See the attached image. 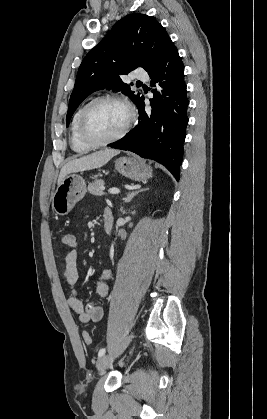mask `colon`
<instances>
[{"mask_svg": "<svg viewBox=\"0 0 267 419\" xmlns=\"http://www.w3.org/2000/svg\"><path fill=\"white\" fill-rule=\"evenodd\" d=\"M63 244L68 247L72 248L76 245V239L75 236L71 233H67L62 238ZM83 340L86 344H89L91 342L90 334L88 332H83Z\"/></svg>", "mask_w": 267, "mask_h": 419, "instance_id": "5ec220e1", "label": "colon"}]
</instances>
